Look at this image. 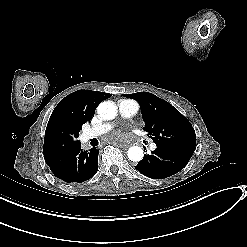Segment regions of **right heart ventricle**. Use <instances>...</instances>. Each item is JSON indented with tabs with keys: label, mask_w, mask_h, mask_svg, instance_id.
Segmentation results:
<instances>
[{
	"label": "right heart ventricle",
	"mask_w": 247,
	"mask_h": 247,
	"mask_svg": "<svg viewBox=\"0 0 247 247\" xmlns=\"http://www.w3.org/2000/svg\"><path fill=\"white\" fill-rule=\"evenodd\" d=\"M124 104H129V105H132V106L138 108V104L133 100H128V99L119 100V102H118L119 106L124 105Z\"/></svg>",
	"instance_id": "right-heart-ventricle-1"
}]
</instances>
